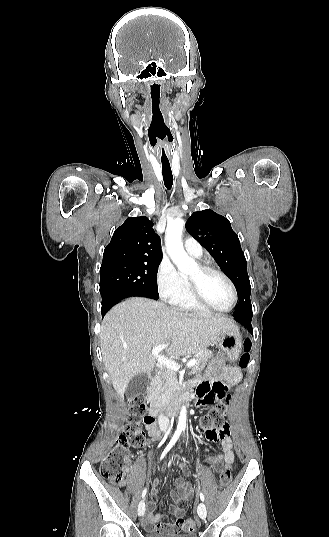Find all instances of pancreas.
Wrapping results in <instances>:
<instances>
[{
  "instance_id": "1",
  "label": "pancreas",
  "mask_w": 329,
  "mask_h": 537,
  "mask_svg": "<svg viewBox=\"0 0 329 537\" xmlns=\"http://www.w3.org/2000/svg\"><path fill=\"white\" fill-rule=\"evenodd\" d=\"M213 353L209 350H203L196 355V364L192 368V373H197L202 370ZM154 393L159 395L161 399L170 402L178 397V381L173 370L165 371L157 380L154 388Z\"/></svg>"
}]
</instances>
